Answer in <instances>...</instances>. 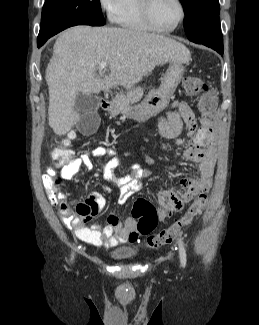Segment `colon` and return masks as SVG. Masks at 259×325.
Returning <instances> with one entry per match:
<instances>
[{
	"label": "colon",
	"instance_id": "colon-1",
	"mask_svg": "<svg viewBox=\"0 0 259 325\" xmlns=\"http://www.w3.org/2000/svg\"><path fill=\"white\" fill-rule=\"evenodd\" d=\"M183 88L189 96L199 99V106L202 110V126L207 131H210L213 114L217 107L214 93L202 79L195 76L185 77ZM73 138V133L56 138L52 154L57 158L67 155L69 144ZM45 187L50 201L59 200L62 195L60 192L62 180L60 178L52 177L45 184ZM207 200L206 193L199 194L179 220L156 234H150L158 222V212L151 202L139 198L134 202L132 209V216L136 220V230L141 235H148L146 245L149 248L156 249L169 244L176 239L184 227L188 226L202 212L207 204Z\"/></svg>",
	"mask_w": 259,
	"mask_h": 325
}]
</instances>
